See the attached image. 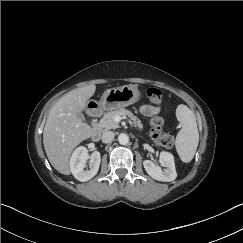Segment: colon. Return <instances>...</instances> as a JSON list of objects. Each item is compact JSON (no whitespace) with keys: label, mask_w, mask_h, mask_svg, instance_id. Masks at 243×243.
Returning a JSON list of instances; mask_svg holds the SVG:
<instances>
[{"label":"colon","mask_w":243,"mask_h":243,"mask_svg":"<svg viewBox=\"0 0 243 243\" xmlns=\"http://www.w3.org/2000/svg\"><path fill=\"white\" fill-rule=\"evenodd\" d=\"M147 96L155 107H160V104L163 100V93L161 90L151 87L147 89ZM150 135L152 139L162 147L170 148L174 145L175 138L173 134L163 132V119L160 116H154L151 119Z\"/></svg>","instance_id":"colon-1"}]
</instances>
